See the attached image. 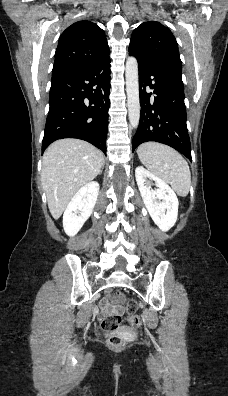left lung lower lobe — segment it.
Here are the masks:
<instances>
[{"instance_id": "1", "label": "left lung lower lobe", "mask_w": 228, "mask_h": 396, "mask_svg": "<svg viewBox=\"0 0 228 396\" xmlns=\"http://www.w3.org/2000/svg\"><path fill=\"white\" fill-rule=\"evenodd\" d=\"M139 67L141 114L132 140L133 151L142 143L155 141L173 147L191 160V144L186 125L184 86L177 69L141 61ZM154 90L146 92V87Z\"/></svg>"}]
</instances>
